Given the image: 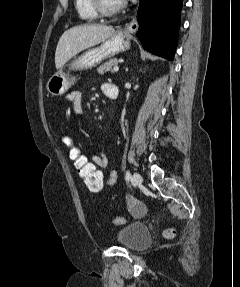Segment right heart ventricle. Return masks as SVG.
I'll return each instance as SVG.
<instances>
[{
    "label": "right heart ventricle",
    "instance_id": "right-heart-ventricle-1",
    "mask_svg": "<svg viewBox=\"0 0 240 287\" xmlns=\"http://www.w3.org/2000/svg\"><path fill=\"white\" fill-rule=\"evenodd\" d=\"M75 9L82 20H95L98 18L92 0H74Z\"/></svg>",
    "mask_w": 240,
    "mask_h": 287
}]
</instances>
